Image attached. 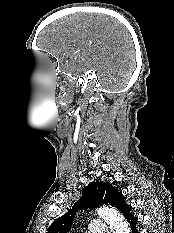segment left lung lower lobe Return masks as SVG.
Instances as JSON below:
<instances>
[{"label":"left lung lower lobe","instance_id":"left-lung-lower-lobe-1","mask_svg":"<svg viewBox=\"0 0 174 233\" xmlns=\"http://www.w3.org/2000/svg\"><path fill=\"white\" fill-rule=\"evenodd\" d=\"M127 222L130 225L132 233H139L138 231V218L135 217L131 211L125 216Z\"/></svg>","mask_w":174,"mask_h":233}]
</instances>
